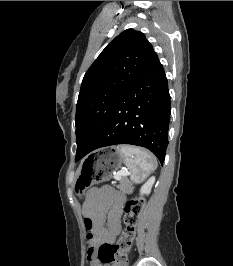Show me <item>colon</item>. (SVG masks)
Returning a JSON list of instances; mask_svg holds the SVG:
<instances>
[{
  "label": "colon",
  "mask_w": 233,
  "mask_h": 266,
  "mask_svg": "<svg viewBox=\"0 0 233 266\" xmlns=\"http://www.w3.org/2000/svg\"><path fill=\"white\" fill-rule=\"evenodd\" d=\"M143 206L144 199L141 197L131 199L126 203L125 228L115 244H102L98 247L96 251L100 262L98 266H106L111 263L114 266H127V253L134 240L136 226ZM85 224L87 227H90L91 222L88 218H86Z\"/></svg>",
  "instance_id": "obj_1"
}]
</instances>
